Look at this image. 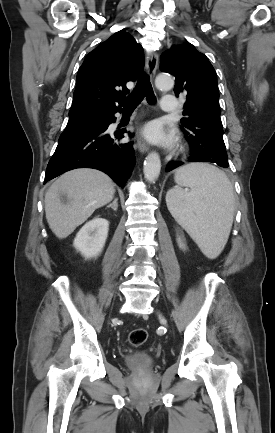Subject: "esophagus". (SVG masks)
<instances>
[{
	"label": "esophagus",
	"mask_w": 275,
	"mask_h": 433,
	"mask_svg": "<svg viewBox=\"0 0 275 433\" xmlns=\"http://www.w3.org/2000/svg\"><path fill=\"white\" fill-rule=\"evenodd\" d=\"M158 62H159V56L156 52H152L146 60V63H145L146 73L151 79H153L155 76V73H156V70L158 67ZM136 145L138 147V150L141 153H146L149 150V146L141 138L137 139Z\"/></svg>",
	"instance_id": "34e87169"
}]
</instances>
